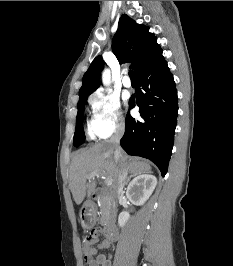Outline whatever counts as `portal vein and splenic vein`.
<instances>
[{
	"instance_id": "portal-vein-and-splenic-vein-1",
	"label": "portal vein and splenic vein",
	"mask_w": 233,
	"mask_h": 266,
	"mask_svg": "<svg viewBox=\"0 0 233 266\" xmlns=\"http://www.w3.org/2000/svg\"><path fill=\"white\" fill-rule=\"evenodd\" d=\"M99 176H100V175L97 174V173H95V174H90L89 177H88V179H91V178H93V177H99ZM102 178L105 179V183H106V185H108V186L112 185L113 181H112L111 178H106V177H102Z\"/></svg>"
}]
</instances>
